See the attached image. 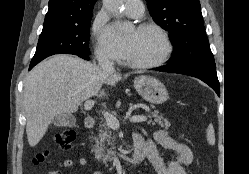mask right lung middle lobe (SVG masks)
Returning a JSON list of instances; mask_svg holds the SVG:
<instances>
[{
    "label": "right lung middle lobe",
    "instance_id": "1",
    "mask_svg": "<svg viewBox=\"0 0 249 174\" xmlns=\"http://www.w3.org/2000/svg\"><path fill=\"white\" fill-rule=\"evenodd\" d=\"M91 19L78 24L42 30L31 62L41 61L54 54L90 55L88 44Z\"/></svg>",
    "mask_w": 249,
    "mask_h": 174
}]
</instances>
